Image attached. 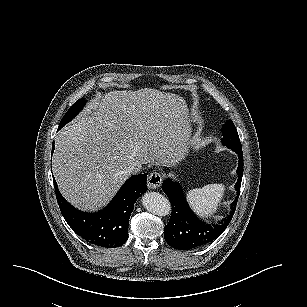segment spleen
Segmentation results:
<instances>
[{
  "mask_svg": "<svg viewBox=\"0 0 307 307\" xmlns=\"http://www.w3.org/2000/svg\"><path fill=\"white\" fill-rule=\"evenodd\" d=\"M228 186V183L222 182L187 191L185 197L188 207L199 219L208 220L214 217L222 206Z\"/></svg>",
  "mask_w": 307,
  "mask_h": 307,
  "instance_id": "3e777b00",
  "label": "spleen"
}]
</instances>
